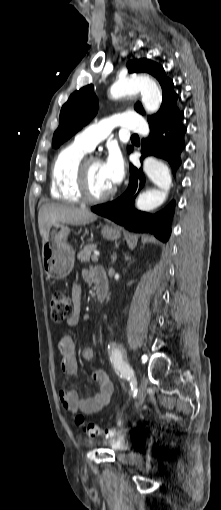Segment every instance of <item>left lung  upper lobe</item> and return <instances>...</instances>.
Returning <instances> with one entry per match:
<instances>
[{
  "label": "left lung upper lobe",
  "mask_w": 221,
  "mask_h": 510,
  "mask_svg": "<svg viewBox=\"0 0 221 510\" xmlns=\"http://www.w3.org/2000/svg\"><path fill=\"white\" fill-rule=\"evenodd\" d=\"M130 73L146 72L154 76L162 87L163 100L160 110L153 116H148V122L158 120L171 112H180L177 107L178 95L174 92L173 81L167 78L164 69L157 63L139 59L127 63ZM98 99L94 93L93 85H88L70 95L68 101L62 106L60 123L53 136L52 146L59 147L73 136L83 126L90 122L98 111ZM135 110L144 114L142 105L135 104ZM132 147H129V152Z\"/></svg>",
  "instance_id": "obj_1"
}]
</instances>
